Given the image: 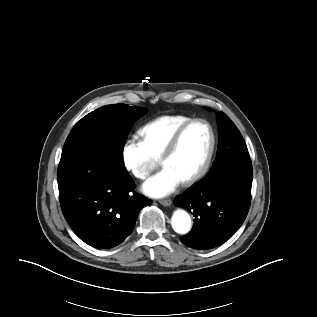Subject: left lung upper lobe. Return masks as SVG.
<instances>
[{
  "label": "left lung upper lobe",
  "instance_id": "1",
  "mask_svg": "<svg viewBox=\"0 0 317 317\" xmlns=\"http://www.w3.org/2000/svg\"><path fill=\"white\" fill-rule=\"evenodd\" d=\"M219 142L216 160L206 178H216L223 172L235 168L252 169L245 141L231 119L218 112Z\"/></svg>",
  "mask_w": 317,
  "mask_h": 317
}]
</instances>
